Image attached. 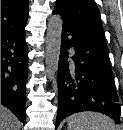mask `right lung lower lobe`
Returning a JSON list of instances; mask_svg holds the SVG:
<instances>
[{"instance_id": "obj_1", "label": "right lung lower lobe", "mask_w": 123, "mask_h": 130, "mask_svg": "<svg viewBox=\"0 0 123 130\" xmlns=\"http://www.w3.org/2000/svg\"><path fill=\"white\" fill-rule=\"evenodd\" d=\"M25 29L1 32V104L25 124L28 51Z\"/></svg>"}]
</instances>
